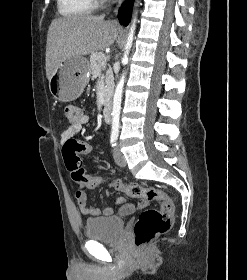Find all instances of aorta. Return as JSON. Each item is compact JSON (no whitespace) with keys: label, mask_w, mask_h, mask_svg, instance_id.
Returning a JSON list of instances; mask_svg holds the SVG:
<instances>
[{"label":"aorta","mask_w":247,"mask_h":280,"mask_svg":"<svg viewBox=\"0 0 247 280\" xmlns=\"http://www.w3.org/2000/svg\"><path fill=\"white\" fill-rule=\"evenodd\" d=\"M135 22H136V19L133 20V23H132L130 31H129L127 43L125 45V52H124V55H123V58H122V62L124 64L128 63V55H129V51H130L131 46H132L133 36H134V32H135ZM124 80H125V76L123 74L121 76L118 84H117V87L115 89V93H114V96H113L112 129H111V134L113 136H118V133H119L120 109H121V101H122V92H123Z\"/></svg>","instance_id":"obj_1"}]
</instances>
